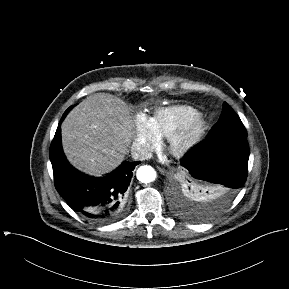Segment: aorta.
<instances>
[{
    "instance_id": "obj_1",
    "label": "aorta",
    "mask_w": 289,
    "mask_h": 289,
    "mask_svg": "<svg viewBox=\"0 0 289 289\" xmlns=\"http://www.w3.org/2000/svg\"><path fill=\"white\" fill-rule=\"evenodd\" d=\"M137 179L142 183H150L156 179V171L151 166H141L136 173Z\"/></svg>"
}]
</instances>
